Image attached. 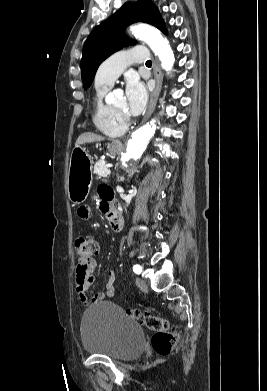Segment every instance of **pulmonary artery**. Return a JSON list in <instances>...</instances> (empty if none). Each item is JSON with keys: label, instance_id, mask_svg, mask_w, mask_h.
I'll use <instances>...</instances> for the list:
<instances>
[{"label": "pulmonary artery", "instance_id": "pulmonary-artery-1", "mask_svg": "<svg viewBox=\"0 0 267 391\" xmlns=\"http://www.w3.org/2000/svg\"><path fill=\"white\" fill-rule=\"evenodd\" d=\"M148 50L143 46H135L118 51L107 58L98 68L95 86L111 87L123 70L132 63H145Z\"/></svg>", "mask_w": 267, "mask_h": 391}]
</instances>
